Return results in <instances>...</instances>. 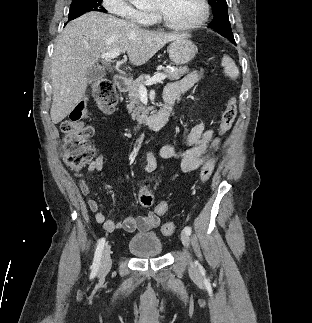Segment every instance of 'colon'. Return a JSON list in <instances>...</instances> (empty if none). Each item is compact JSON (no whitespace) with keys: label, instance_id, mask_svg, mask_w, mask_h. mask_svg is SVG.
I'll return each mask as SVG.
<instances>
[{"label":"colon","instance_id":"obj_1","mask_svg":"<svg viewBox=\"0 0 312 323\" xmlns=\"http://www.w3.org/2000/svg\"><path fill=\"white\" fill-rule=\"evenodd\" d=\"M95 101L99 108L104 111L114 108L118 102V97L114 84L110 78L101 77L95 82ZM237 115V100L231 95L226 102L221 124L218 129V135L224 136L232 127ZM64 137L63 147L65 148L66 162L73 170L84 167L91 162L96 155L94 145L91 143L93 129L81 122L75 120H66L62 125ZM214 159L210 158L204 164L200 171V180L206 182L214 171ZM146 182V179H143ZM141 205H151L153 198L151 193L145 191L139 196ZM165 202H156L155 213H164L166 211ZM176 226L173 222H167L162 225L161 232L164 235H170L175 232Z\"/></svg>","mask_w":312,"mask_h":323}]
</instances>
